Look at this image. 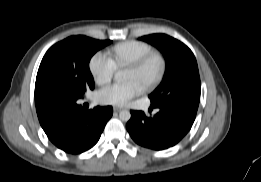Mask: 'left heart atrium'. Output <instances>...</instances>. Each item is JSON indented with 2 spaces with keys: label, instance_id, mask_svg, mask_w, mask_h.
<instances>
[{
  "label": "left heart atrium",
  "instance_id": "left-heart-atrium-1",
  "mask_svg": "<svg viewBox=\"0 0 261 182\" xmlns=\"http://www.w3.org/2000/svg\"><path fill=\"white\" fill-rule=\"evenodd\" d=\"M142 91L143 86L138 82L129 81L124 84H114L101 89L97 94V99L101 104L125 106Z\"/></svg>",
  "mask_w": 261,
  "mask_h": 182
}]
</instances>
